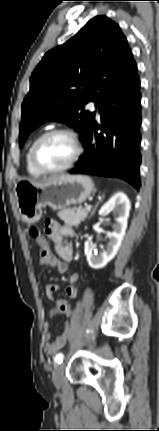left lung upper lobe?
Masks as SVG:
<instances>
[{
  "mask_svg": "<svg viewBox=\"0 0 159 431\" xmlns=\"http://www.w3.org/2000/svg\"><path fill=\"white\" fill-rule=\"evenodd\" d=\"M133 61L118 24L105 16L91 19L66 43L48 51L32 73L22 104L20 147L50 119L67 123L84 139L95 117L84 105L94 101L98 107Z\"/></svg>",
  "mask_w": 159,
  "mask_h": 431,
  "instance_id": "5c2ea615",
  "label": "left lung upper lobe"
}]
</instances>
